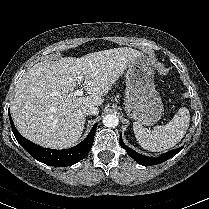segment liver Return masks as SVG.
I'll return each instance as SVG.
<instances>
[{"label":"liver","mask_w":209,"mask_h":209,"mask_svg":"<svg viewBox=\"0 0 209 209\" xmlns=\"http://www.w3.org/2000/svg\"><path fill=\"white\" fill-rule=\"evenodd\" d=\"M142 52L114 48L83 57L38 62L17 84L11 114L19 132L51 149L72 147L81 137L86 105L100 106L124 70ZM88 96H74L77 77Z\"/></svg>","instance_id":"obj_1"}]
</instances>
